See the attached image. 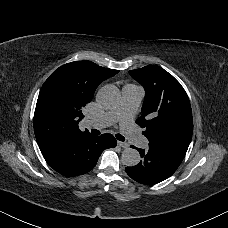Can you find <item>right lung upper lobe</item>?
<instances>
[{
	"label": "right lung upper lobe",
	"mask_w": 228,
	"mask_h": 228,
	"mask_svg": "<svg viewBox=\"0 0 228 228\" xmlns=\"http://www.w3.org/2000/svg\"><path fill=\"white\" fill-rule=\"evenodd\" d=\"M118 72L84 60L65 64L50 75L40 90L34 114V132L41 151L89 134L78 127L84 117L81 108L91 101L102 81Z\"/></svg>",
	"instance_id": "cb5924a9"
}]
</instances>
